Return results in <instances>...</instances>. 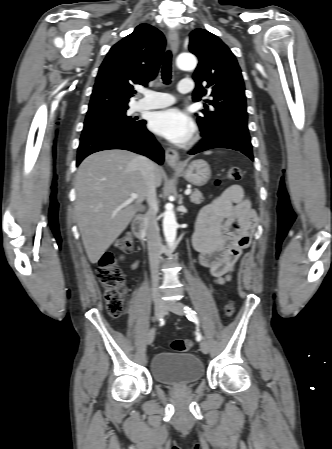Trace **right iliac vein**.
<instances>
[{
  "instance_id": "63e3f726",
  "label": "right iliac vein",
  "mask_w": 332,
  "mask_h": 449,
  "mask_svg": "<svg viewBox=\"0 0 332 449\" xmlns=\"http://www.w3.org/2000/svg\"><path fill=\"white\" fill-rule=\"evenodd\" d=\"M154 310H155V317L157 320H160L166 312V305L161 299H156L154 302ZM155 337V329L152 328L149 330L146 336V342L148 345H150Z\"/></svg>"
}]
</instances>
